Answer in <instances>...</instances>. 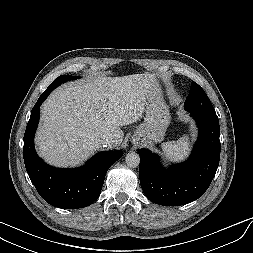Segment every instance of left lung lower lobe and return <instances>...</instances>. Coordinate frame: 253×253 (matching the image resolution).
<instances>
[{
  "instance_id": "0a47b994",
  "label": "left lung lower lobe",
  "mask_w": 253,
  "mask_h": 253,
  "mask_svg": "<svg viewBox=\"0 0 253 253\" xmlns=\"http://www.w3.org/2000/svg\"><path fill=\"white\" fill-rule=\"evenodd\" d=\"M199 128L190 158L164 169L157 155L138 149L140 184L146 197L160 205L179 206L195 201L208 189L220 159V126L216 112L188 111Z\"/></svg>"
}]
</instances>
